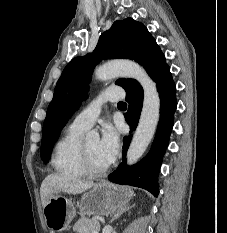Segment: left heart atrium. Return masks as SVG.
Here are the masks:
<instances>
[{"label": "left heart atrium", "instance_id": "obj_1", "mask_svg": "<svg viewBox=\"0 0 227 233\" xmlns=\"http://www.w3.org/2000/svg\"><path fill=\"white\" fill-rule=\"evenodd\" d=\"M98 150L108 164L114 161L119 150V136L112 125H104Z\"/></svg>", "mask_w": 227, "mask_h": 233}]
</instances>
